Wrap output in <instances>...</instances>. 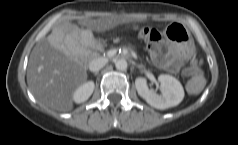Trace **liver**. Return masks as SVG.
Here are the masks:
<instances>
[{
    "mask_svg": "<svg viewBox=\"0 0 238 145\" xmlns=\"http://www.w3.org/2000/svg\"><path fill=\"white\" fill-rule=\"evenodd\" d=\"M136 20L133 14L105 13L97 19L83 18L80 29L70 22L55 26L33 48L27 66V83L33 95L45 106L57 111L73 108L72 94L86 81L88 57L77 52L72 42L92 31L105 32Z\"/></svg>",
    "mask_w": 238,
    "mask_h": 145,
    "instance_id": "liver-1",
    "label": "liver"
}]
</instances>
